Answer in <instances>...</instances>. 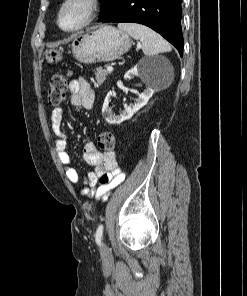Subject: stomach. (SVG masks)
<instances>
[{
  "mask_svg": "<svg viewBox=\"0 0 247 296\" xmlns=\"http://www.w3.org/2000/svg\"><path fill=\"white\" fill-rule=\"evenodd\" d=\"M132 41L123 31L110 25L78 34L71 44L74 58L84 64L109 62L117 59L131 48ZM48 63L61 61L60 49H46L43 53Z\"/></svg>",
  "mask_w": 247,
  "mask_h": 296,
  "instance_id": "0dacf381",
  "label": "stomach"
}]
</instances>
